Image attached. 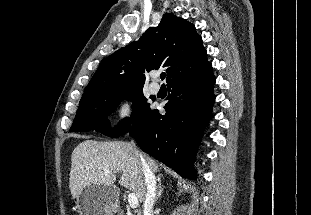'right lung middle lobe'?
Masks as SVG:
<instances>
[{
    "label": "right lung middle lobe",
    "instance_id": "1",
    "mask_svg": "<svg viewBox=\"0 0 311 215\" xmlns=\"http://www.w3.org/2000/svg\"><path fill=\"white\" fill-rule=\"evenodd\" d=\"M125 99L133 101L131 118H125L112 129L107 117ZM142 90L123 94L103 95L79 103V108L71 126L72 132L96 130L108 137H119L127 133L150 111Z\"/></svg>",
    "mask_w": 311,
    "mask_h": 215
}]
</instances>
